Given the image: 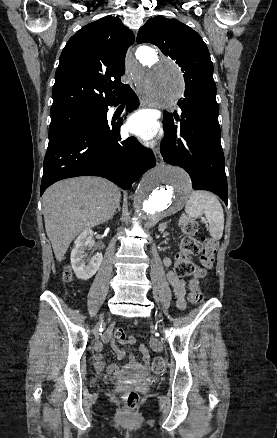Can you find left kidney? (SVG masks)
Here are the masks:
<instances>
[{
	"label": "left kidney",
	"instance_id": "1",
	"mask_svg": "<svg viewBox=\"0 0 277 438\" xmlns=\"http://www.w3.org/2000/svg\"><path fill=\"white\" fill-rule=\"evenodd\" d=\"M166 228H167V224H159V232H164Z\"/></svg>",
	"mask_w": 277,
	"mask_h": 438
}]
</instances>
